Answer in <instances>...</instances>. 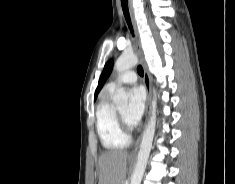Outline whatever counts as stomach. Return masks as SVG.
I'll return each instance as SVG.
<instances>
[{"mask_svg":"<svg viewBox=\"0 0 235 184\" xmlns=\"http://www.w3.org/2000/svg\"><path fill=\"white\" fill-rule=\"evenodd\" d=\"M128 162H131V160H129V158H128Z\"/></svg>","mask_w":235,"mask_h":184,"instance_id":"stomach-1","label":"stomach"}]
</instances>
